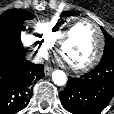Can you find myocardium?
I'll return each instance as SVG.
<instances>
[{
    "label": "myocardium",
    "instance_id": "obj_1",
    "mask_svg": "<svg viewBox=\"0 0 114 114\" xmlns=\"http://www.w3.org/2000/svg\"><path fill=\"white\" fill-rule=\"evenodd\" d=\"M83 22H89L95 27L98 37H99L98 49H97L95 55L92 57V59L90 61H88L87 63H85L83 65H72L63 58L62 50H63L65 44L70 39L74 29L80 23H83ZM104 48H105V37H104L101 27L93 19L83 17V18H78L75 21H73L72 23H70L67 26V28L63 31V33L61 34L60 38L58 39V41L55 45V55H56L58 62L65 68H67L75 73H84V72L91 70L99 63V61L102 58Z\"/></svg>",
    "mask_w": 114,
    "mask_h": 114
}]
</instances>
